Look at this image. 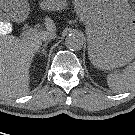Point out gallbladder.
<instances>
[{
    "mask_svg": "<svg viewBox=\"0 0 135 135\" xmlns=\"http://www.w3.org/2000/svg\"><path fill=\"white\" fill-rule=\"evenodd\" d=\"M2 14H3V12L0 10V22L1 21H5V20H2V18H1L2 17Z\"/></svg>",
    "mask_w": 135,
    "mask_h": 135,
    "instance_id": "obj_1",
    "label": "gallbladder"
}]
</instances>
